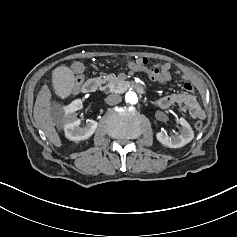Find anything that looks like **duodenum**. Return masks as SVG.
<instances>
[{
	"instance_id": "duodenum-1",
	"label": "duodenum",
	"mask_w": 237,
	"mask_h": 237,
	"mask_svg": "<svg viewBox=\"0 0 237 237\" xmlns=\"http://www.w3.org/2000/svg\"><path fill=\"white\" fill-rule=\"evenodd\" d=\"M98 86H99V82L97 79H94V78L88 79L87 81L84 82V84L82 86V92L83 93H93L98 89ZM130 86L138 93L144 92L143 86L140 85L139 83L131 82Z\"/></svg>"
}]
</instances>
